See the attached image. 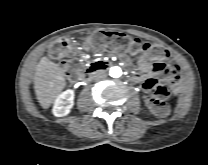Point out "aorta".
I'll use <instances>...</instances> for the list:
<instances>
[{
    "instance_id": "762f6f07",
    "label": "aorta",
    "mask_w": 208,
    "mask_h": 165,
    "mask_svg": "<svg viewBox=\"0 0 208 165\" xmlns=\"http://www.w3.org/2000/svg\"><path fill=\"white\" fill-rule=\"evenodd\" d=\"M109 75L113 78H119L122 75V69L118 66L111 67Z\"/></svg>"
}]
</instances>
